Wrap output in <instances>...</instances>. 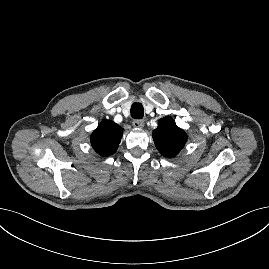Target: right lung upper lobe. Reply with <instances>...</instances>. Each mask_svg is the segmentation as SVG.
Masks as SVG:
<instances>
[{
  "label": "right lung upper lobe",
  "mask_w": 269,
  "mask_h": 269,
  "mask_svg": "<svg viewBox=\"0 0 269 269\" xmlns=\"http://www.w3.org/2000/svg\"><path fill=\"white\" fill-rule=\"evenodd\" d=\"M123 134V129L111 120H103L91 134L93 149L101 156L116 152Z\"/></svg>",
  "instance_id": "obj_1"
}]
</instances>
